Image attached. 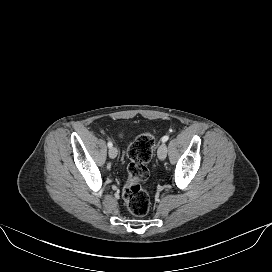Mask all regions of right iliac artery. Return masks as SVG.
<instances>
[{"label":"right iliac artery","instance_id":"right-iliac-artery-1","mask_svg":"<svg viewBox=\"0 0 272 272\" xmlns=\"http://www.w3.org/2000/svg\"><path fill=\"white\" fill-rule=\"evenodd\" d=\"M112 146H113L112 142L109 141V142H108V147L111 148Z\"/></svg>","mask_w":272,"mask_h":272}]
</instances>
